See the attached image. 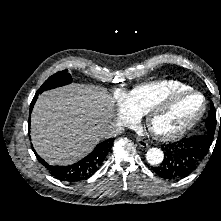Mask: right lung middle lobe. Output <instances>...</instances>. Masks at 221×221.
I'll list each match as a JSON object with an SVG mask.
<instances>
[{
    "instance_id": "right-lung-middle-lobe-1",
    "label": "right lung middle lobe",
    "mask_w": 221,
    "mask_h": 221,
    "mask_svg": "<svg viewBox=\"0 0 221 221\" xmlns=\"http://www.w3.org/2000/svg\"><path fill=\"white\" fill-rule=\"evenodd\" d=\"M72 82V77L67 70L57 72L50 76L40 87L37 93L41 94L45 90L63 86Z\"/></svg>"
}]
</instances>
